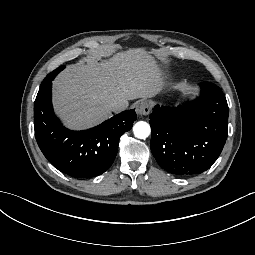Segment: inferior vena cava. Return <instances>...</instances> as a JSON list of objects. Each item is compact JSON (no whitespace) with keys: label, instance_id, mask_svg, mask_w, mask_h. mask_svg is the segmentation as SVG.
<instances>
[{"label":"inferior vena cava","instance_id":"inferior-vena-cava-1","mask_svg":"<svg viewBox=\"0 0 255 255\" xmlns=\"http://www.w3.org/2000/svg\"><path fill=\"white\" fill-rule=\"evenodd\" d=\"M110 108L111 110L113 111H119L121 109H124V105H123V101H112L111 104H110Z\"/></svg>","mask_w":255,"mask_h":255}]
</instances>
